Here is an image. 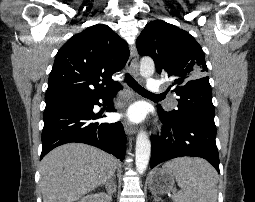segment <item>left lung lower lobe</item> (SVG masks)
Listing matches in <instances>:
<instances>
[{"label": "left lung lower lobe", "mask_w": 255, "mask_h": 202, "mask_svg": "<svg viewBox=\"0 0 255 202\" xmlns=\"http://www.w3.org/2000/svg\"><path fill=\"white\" fill-rule=\"evenodd\" d=\"M163 129L160 137L151 136L150 167L176 157H201L219 172L214 121L201 117L171 119L158 110Z\"/></svg>", "instance_id": "left-lung-lower-lobe-1"}]
</instances>
